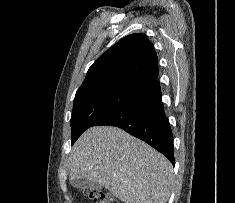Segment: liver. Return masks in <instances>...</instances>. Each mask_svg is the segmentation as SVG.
I'll list each match as a JSON object with an SVG mask.
<instances>
[{"mask_svg":"<svg viewBox=\"0 0 235 203\" xmlns=\"http://www.w3.org/2000/svg\"><path fill=\"white\" fill-rule=\"evenodd\" d=\"M70 178L98 183L124 203H166L173 167L165 156L124 130L95 126L73 146Z\"/></svg>","mask_w":235,"mask_h":203,"instance_id":"liver-1","label":"liver"}]
</instances>
